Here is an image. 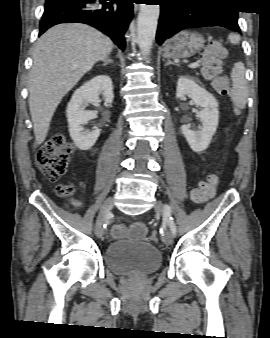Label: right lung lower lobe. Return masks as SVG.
Returning a JSON list of instances; mask_svg holds the SVG:
<instances>
[{
	"instance_id": "obj_1",
	"label": "right lung lower lobe",
	"mask_w": 270,
	"mask_h": 338,
	"mask_svg": "<svg viewBox=\"0 0 270 338\" xmlns=\"http://www.w3.org/2000/svg\"><path fill=\"white\" fill-rule=\"evenodd\" d=\"M134 0H46L39 36L64 22L93 26L125 49L124 34L133 15Z\"/></svg>"
}]
</instances>
